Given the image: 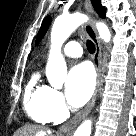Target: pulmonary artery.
Returning <instances> with one entry per match:
<instances>
[{
  "label": "pulmonary artery",
  "mask_w": 136,
  "mask_h": 136,
  "mask_svg": "<svg viewBox=\"0 0 136 136\" xmlns=\"http://www.w3.org/2000/svg\"><path fill=\"white\" fill-rule=\"evenodd\" d=\"M63 52L66 56L76 58L82 55V48L78 42L70 41L64 46Z\"/></svg>",
  "instance_id": "e3ab8cb5"
}]
</instances>
